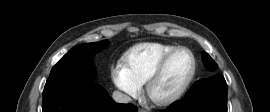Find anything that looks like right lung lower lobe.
I'll list each match as a JSON object with an SVG mask.
<instances>
[{
	"mask_svg": "<svg viewBox=\"0 0 270 112\" xmlns=\"http://www.w3.org/2000/svg\"><path fill=\"white\" fill-rule=\"evenodd\" d=\"M43 112H137L133 104H117L94 83L46 82Z\"/></svg>",
	"mask_w": 270,
	"mask_h": 112,
	"instance_id": "1",
	"label": "right lung lower lobe"
}]
</instances>
